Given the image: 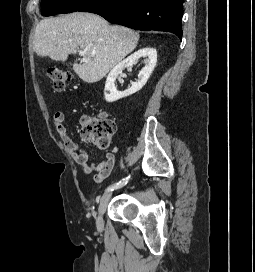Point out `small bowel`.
Wrapping results in <instances>:
<instances>
[{"label":"small bowel","instance_id":"c3829d8e","mask_svg":"<svg viewBox=\"0 0 255 272\" xmlns=\"http://www.w3.org/2000/svg\"><path fill=\"white\" fill-rule=\"evenodd\" d=\"M53 122L65 149L72 155L75 162L83 168L86 174L95 172L94 182L97 184L102 183L113 168L115 162L114 152L107 153L104 159L99 163L90 162L88 152L69 137L64 125V114L60 111L56 112L53 116Z\"/></svg>","mask_w":255,"mask_h":272}]
</instances>
